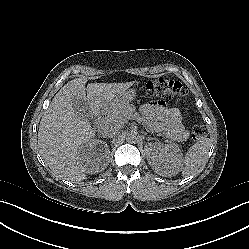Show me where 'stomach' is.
Wrapping results in <instances>:
<instances>
[{"mask_svg": "<svg viewBox=\"0 0 249 249\" xmlns=\"http://www.w3.org/2000/svg\"><path fill=\"white\" fill-rule=\"evenodd\" d=\"M134 97H135V91H134V90H130V91H129V95L127 96L126 99H127V100H132ZM124 100H125V99L123 98V100H121V101H124ZM116 106H117V103H116ZM116 106H115V107H116ZM115 107H114V108H115ZM114 108L111 109V110H114Z\"/></svg>", "mask_w": 249, "mask_h": 249, "instance_id": "1", "label": "stomach"}]
</instances>
